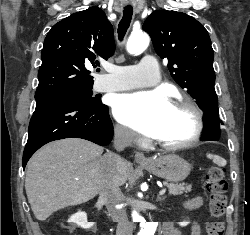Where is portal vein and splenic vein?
<instances>
[{"label": "portal vein and splenic vein", "instance_id": "18ae733b", "mask_svg": "<svg viewBox=\"0 0 250 235\" xmlns=\"http://www.w3.org/2000/svg\"><path fill=\"white\" fill-rule=\"evenodd\" d=\"M166 189H162L160 192H159V195H163L165 193Z\"/></svg>", "mask_w": 250, "mask_h": 235}]
</instances>
